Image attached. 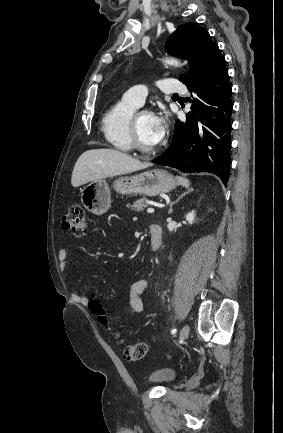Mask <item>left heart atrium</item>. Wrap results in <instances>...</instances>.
<instances>
[{
  "mask_svg": "<svg viewBox=\"0 0 283 433\" xmlns=\"http://www.w3.org/2000/svg\"><path fill=\"white\" fill-rule=\"evenodd\" d=\"M166 127L167 124L165 119L158 115H151L148 139L152 147H158L161 143L165 135Z\"/></svg>",
  "mask_w": 283,
  "mask_h": 433,
  "instance_id": "1",
  "label": "left heart atrium"
}]
</instances>
